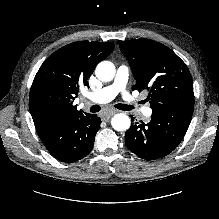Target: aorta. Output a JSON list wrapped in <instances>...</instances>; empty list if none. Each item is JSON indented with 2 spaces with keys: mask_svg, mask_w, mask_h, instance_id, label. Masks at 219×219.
<instances>
[{
  "mask_svg": "<svg viewBox=\"0 0 219 219\" xmlns=\"http://www.w3.org/2000/svg\"><path fill=\"white\" fill-rule=\"evenodd\" d=\"M115 73V66L110 61L100 62L95 70L96 77L103 82L111 81L114 78ZM111 125L116 131H126L131 125L130 118L123 113L115 114L111 120Z\"/></svg>",
  "mask_w": 219,
  "mask_h": 219,
  "instance_id": "aorta-1",
  "label": "aorta"
}]
</instances>
